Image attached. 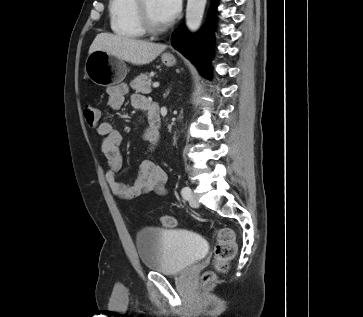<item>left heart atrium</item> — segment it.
Masks as SVG:
<instances>
[{
    "instance_id": "1",
    "label": "left heart atrium",
    "mask_w": 363,
    "mask_h": 317,
    "mask_svg": "<svg viewBox=\"0 0 363 317\" xmlns=\"http://www.w3.org/2000/svg\"><path fill=\"white\" fill-rule=\"evenodd\" d=\"M159 14L165 24L172 22L181 8V0H157Z\"/></svg>"
}]
</instances>
